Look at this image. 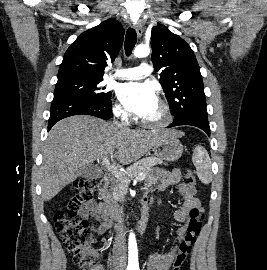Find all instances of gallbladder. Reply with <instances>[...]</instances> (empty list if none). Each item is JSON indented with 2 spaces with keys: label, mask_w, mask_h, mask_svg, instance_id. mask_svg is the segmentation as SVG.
<instances>
[{
  "label": "gallbladder",
  "mask_w": 267,
  "mask_h": 270,
  "mask_svg": "<svg viewBox=\"0 0 267 270\" xmlns=\"http://www.w3.org/2000/svg\"><path fill=\"white\" fill-rule=\"evenodd\" d=\"M102 175L103 173L99 168L90 166L84 169L80 176L87 179H99Z\"/></svg>",
  "instance_id": "1"
}]
</instances>
